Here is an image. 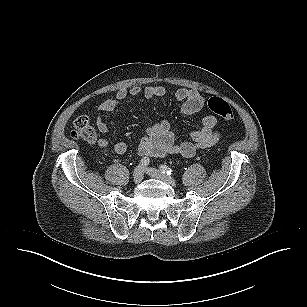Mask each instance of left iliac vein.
<instances>
[{"instance_id":"4c4485c4","label":"left iliac vein","mask_w":307,"mask_h":307,"mask_svg":"<svg viewBox=\"0 0 307 307\" xmlns=\"http://www.w3.org/2000/svg\"><path fill=\"white\" fill-rule=\"evenodd\" d=\"M145 172L147 174H149L151 177H153L155 179H159V180L163 181L164 183H166V184H168L172 187L176 186V181L172 177L163 174L161 171H159L157 169L146 168Z\"/></svg>"}]
</instances>
